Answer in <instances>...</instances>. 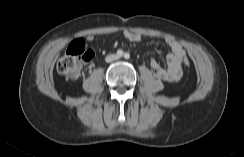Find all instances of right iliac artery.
Wrapping results in <instances>:
<instances>
[{
	"mask_svg": "<svg viewBox=\"0 0 244 157\" xmlns=\"http://www.w3.org/2000/svg\"><path fill=\"white\" fill-rule=\"evenodd\" d=\"M122 55H123V51L119 49V50L117 51V56H118V57H121Z\"/></svg>",
	"mask_w": 244,
	"mask_h": 157,
	"instance_id": "right-iliac-artery-1",
	"label": "right iliac artery"
}]
</instances>
